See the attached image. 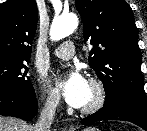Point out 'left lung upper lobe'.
I'll use <instances>...</instances> for the list:
<instances>
[{
    "label": "left lung upper lobe",
    "mask_w": 147,
    "mask_h": 131,
    "mask_svg": "<svg viewBox=\"0 0 147 131\" xmlns=\"http://www.w3.org/2000/svg\"><path fill=\"white\" fill-rule=\"evenodd\" d=\"M75 6L83 20L84 39L93 45L88 60L103 82L104 105L147 102L131 7L124 0H76Z\"/></svg>",
    "instance_id": "1"
}]
</instances>
